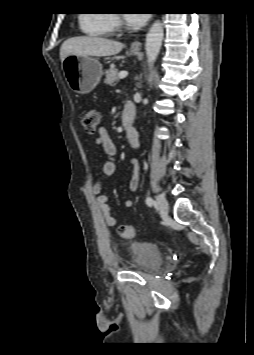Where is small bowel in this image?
Returning a JSON list of instances; mask_svg holds the SVG:
<instances>
[{"mask_svg":"<svg viewBox=\"0 0 254 355\" xmlns=\"http://www.w3.org/2000/svg\"><path fill=\"white\" fill-rule=\"evenodd\" d=\"M126 111L124 107L123 113ZM135 113V109H134ZM128 140L133 146H137V133L133 131L127 135ZM95 146L101 148L107 156V160L102 166V172L106 176H111L116 170V160L115 156L117 154V147L115 142L112 140L107 130L103 127L99 128L98 135L95 140ZM130 165L133 169V174L129 182V189L131 192L136 191L139 184V163L137 160L133 159L130 161ZM92 194L96 197L98 207L105 219L106 224L109 227L116 225V218L111 214V207L108 203V198L103 194V187L101 183L96 182L91 188ZM133 202L131 200L125 201V206L127 208L132 207Z\"/></svg>","mask_w":254,"mask_h":355,"instance_id":"obj_1","label":"small bowel"}]
</instances>
